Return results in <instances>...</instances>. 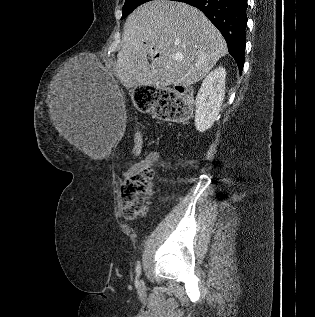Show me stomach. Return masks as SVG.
Here are the masks:
<instances>
[{
  "instance_id": "stomach-1",
  "label": "stomach",
  "mask_w": 315,
  "mask_h": 317,
  "mask_svg": "<svg viewBox=\"0 0 315 317\" xmlns=\"http://www.w3.org/2000/svg\"><path fill=\"white\" fill-rule=\"evenodd\" d=\"M133 95H160V88H153L152 84H138L133 88ZM139 111H154L156 107V97H135Z\"/></svg>"
}]
</instances>
